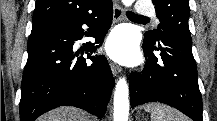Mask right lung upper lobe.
<instances>
[{
	"label": "right lung upper lobe",
	"mask_w": 217,
	"mask_h": 121,
	"mask_svg": "<svg viewBox=\"0 0 217 121\" xmlns=\"http://www.w3.org/2000/svg\"><path fill=\"white\" fill-rule=\"evenodd\" d=\"M110 0H36L33 23L69 22L99 9Z\"/></svg>",
	"instance_id": "1"
}]
</instances>
